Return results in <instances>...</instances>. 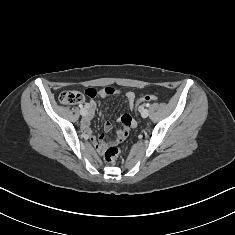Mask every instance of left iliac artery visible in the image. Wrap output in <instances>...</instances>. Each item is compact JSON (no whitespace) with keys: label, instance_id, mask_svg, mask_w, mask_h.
<instances>
[{"label":"left iliac artery","instance_id":"left-iliac-artery-1","mask_svg":"<svg viewBox=\"0 0 235 235\" xmlns=\"http://www.w3.org/2000/svg\"><path fill=\"white\" fill-rule=\"evenodd\" d=\"M149 106H150V104H149V103H147V104H146V107H149Z\"/></svg>","mask_w":235,"mask_h":235}]
</instances>
